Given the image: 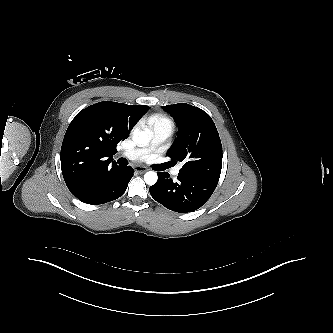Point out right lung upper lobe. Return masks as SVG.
I'll return each mask as SVG.
<instances>
[{"label":"right lung upper lobe","mask_w":333,"mask_h":333,"mask_svg":"<svg viewBox=\"0 0 333 333\" xmlns=\"http://www.w3.org/2000/svg\"><path fill=\"white\" fill-rule=\"evenodd\" d=\"M149 110V106L105 101L79 112L70 123L61 147V170L75 195L91 180L118 167L112 161L117 144Z\"/></svg>","instance_id":"right-lung-upper-lobe-1"}]
</instances>
